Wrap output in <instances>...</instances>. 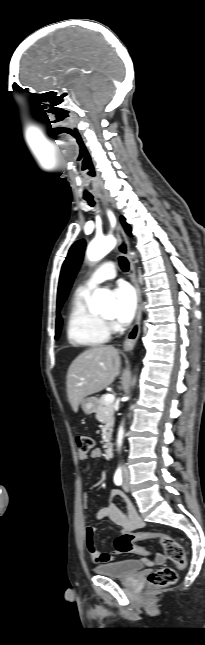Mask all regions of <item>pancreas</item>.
Masks as SVG:
<instances>
[{"instance_id":"cf45deb5","label":"pancreas","mask_w":205,"mask_h":645,"mask_svg":"<svg viewBox=\"0 0 205 645\" xmlns=\"http://www.w3.org/2000/svg\"><path fill=\"white\" fill-rule=\"evenodd\" d=\"M104 397L105 395H102L99 398L95 412L96 419L104 424L102 427V439L104 442H108L111 439L114 425V403H106Z\"/></svg>"}]
</instances>
